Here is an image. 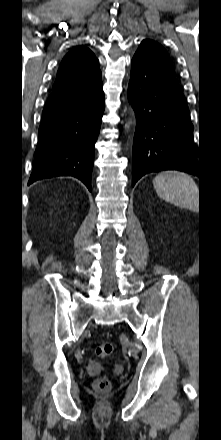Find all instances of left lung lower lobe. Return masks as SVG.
I'll list each match as a JSON object with an SVG mask.
<instances>
[{
  "label": "left lung lower lobe",
  "instance_id": "0a47b994",
  "mask_svg": "<svg viewBox=\"0 0 221 440\" xmlns=\"http://www.w3.org/2000/svg\"><path fill=\"white\" fill-rule=\"evenodd\" d=\"M128 99L136 114L132 185L145 174L179 170L201 177L193 153V125L175 75L141 51L132 59Z\"/></svg>",
  "mask_w": 221,
  "mask_h": 440
}]
</instances>
